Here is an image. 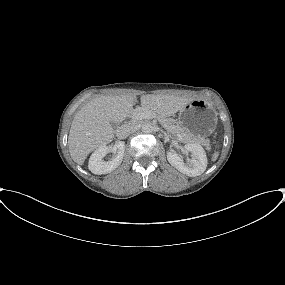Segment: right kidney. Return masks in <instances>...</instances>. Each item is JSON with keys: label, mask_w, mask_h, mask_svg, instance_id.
<instances>
[{"label": "right kidney", "mask_w": 285, "mask_h": 285, "mask_svg": "<svg viewBox=\"0 0 285 285\" xmlns=\"http://www.w3.org/2000/svg\"><path fill=\"white\" fill-rule=\"evenodd\" d=\"M125 151V143L118 142L113 146H102L96 149L89 159V170L96 174L102 175L112 172L116 169L122 162ZM112 153V157L105 161L104 157Z\"/></svg>", "instance_id": "right-kidney-1"}]
</instances>
